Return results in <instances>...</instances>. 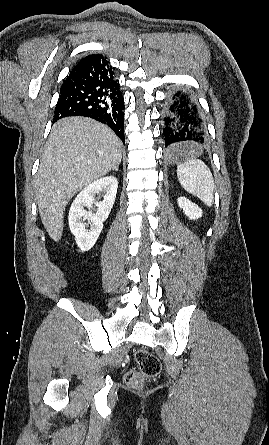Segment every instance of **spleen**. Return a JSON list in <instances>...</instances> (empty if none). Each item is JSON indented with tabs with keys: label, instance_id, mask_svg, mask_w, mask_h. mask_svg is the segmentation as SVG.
<instances>
[{
	"label": "spleen",
	"instance_id": "obj_1",
	"mask_svg": "<svg viewBox=\"0 0 269 445\" xmlns=\"http://www.w3.org/2000/svg\"><path fill=\"white\" fill-rule=\"evenodd\" d=\"M181 186L207 206L213 204L214 179L208 166L198 159H187L177 167Z\"/></svg>",
	"mask_w": 269,
	"mask_h": 445
}]
</instances>
